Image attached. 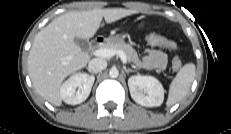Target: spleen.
I'll list each match as a JSON object with an SVG mask.
<instances>
[{"instance_id": "3e777b00", "label": "spleen", "mask_w": 231, "mask_h": 134, "mask_svg": "<svg viewBox=\"0 0 231 134\" xmlns=\"http://www.w3.org/2000/svg\"><path fill=\"white\" fill-rule=\"evenodd\" d=\"M196 67L193 63L185 64L172 80L169 87L167 106H172L181 101L188 93L195 78Z\"/></svg>"}]
</instances>
